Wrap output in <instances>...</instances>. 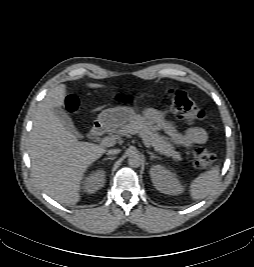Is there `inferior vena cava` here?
<instances>
[{"mask_svg": "<svg viewBox=\"0 0 254 267\" xmlns=\"http://www.w3.org/2000/svg\"><path fill=\"white\" fill-rule=\"evenodd\" d=\"M120 153V149H110L107 151V155H115Z\"/></svg>", "mask_w": 254, "mask_h": 267, "instance_id": "1", "label": "inferior vena cava"}]
</instances>
